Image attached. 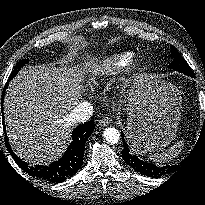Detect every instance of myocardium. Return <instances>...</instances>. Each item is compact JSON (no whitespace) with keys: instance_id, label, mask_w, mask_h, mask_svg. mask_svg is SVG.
Returning a JSON list of instances; mask_svg holds the SVG:
<instances>
[{"instance_id":"1","label":"myocardium","mask_w":205,"mask_h":205,"mask_svg":"<svg viewBox=\"0 0 205 205\" xmlns=\"http://www.w3.org/2000/svg\"><path fill=\"white\" fill-rule=\"evenodd\" d=\"M138 67H139V63L134 62L131 65L130 71L134 72L135 70L138 69ZM131 81H132L131 77H127V78L123 79L122 82H120L118 84V89L120 90V92L125 93L127 91L128 87L130 86Z\"/></svg>"}]
</instances>
